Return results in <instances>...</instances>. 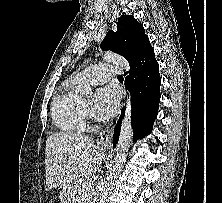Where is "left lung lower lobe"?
Here are the masks:
<instances>
[{"label": "left lung lower lobe", "instance_id": "obj_1", "mask_svg": "<svg viewBox=\"0 0 222 203\" xmlns=\"http://www.w3.org/2000/svg\"><path fill=\"white\" fill-rule=\"evenodd\" d=\"M130 68V74L125 79V86L131 92V123L134 129V141H137L151 133L160 102L161 78L149 39L140 49ZM124 112L125 108L114 129L113 147L118 142Z\"/></svg>", "mask_w": 222, "mask_h": 203}]
</instances>
